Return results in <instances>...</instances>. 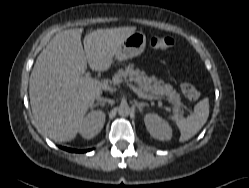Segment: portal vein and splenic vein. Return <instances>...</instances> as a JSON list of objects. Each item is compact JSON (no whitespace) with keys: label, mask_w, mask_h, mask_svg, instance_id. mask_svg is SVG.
I'll use <instances>...</instances> for the list:
<instances>
[{"label":"portal vein and splenic vein","mask_w":249,"mask_h":188,"mask_svg":"<svg viewBox=\"0 0 249 188\" xmlns=\"http://www.w3.org/2000/svg\"><path fill=\"white\" fill-rule=\"evenodd\" d=\"M84 82L86 84L92 85V86L97 87L99 89H104V90L111 89V87L107 83L93 79L89 73H87L85 75ZM127 86H129V88H131L141 98L148 99V100H153L155 98L152 95H147V94L143 93L140 89H138L136 86H134L130 83H127Z\"/></svg>","instance_id":"18ae733b"}]
</instances>
